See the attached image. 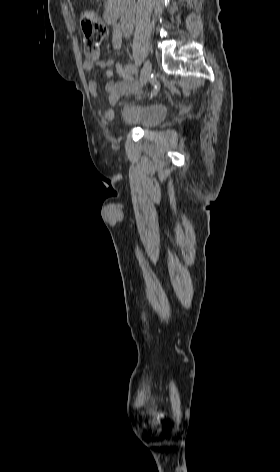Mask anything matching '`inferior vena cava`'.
<instances>
[{
  "instance_id": "inferior-vena-cava-1",
  "label": "inferior vena cava",
  "mask_w": 280,
  "mask_h": 472,
  "mask_svg": "<svg viewBox=\"0 0 280 472\" xmlns=\"http://www.w3.org/2000/svg\"><path fill=\"white\" fill-rule=\"evenodd\" d=\"M135 0H123L121 24L125 34H130L134 27Z\"/></svg>"
}]
</instances>
